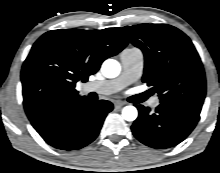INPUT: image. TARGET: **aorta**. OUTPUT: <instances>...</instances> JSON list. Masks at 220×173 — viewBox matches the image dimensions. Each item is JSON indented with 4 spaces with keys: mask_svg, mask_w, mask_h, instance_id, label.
<instances>
[{
    "mask_svg": "<svg viewBox=\"0 0 220 173\" xmlns=\"http://www.w3.org/2000/svg\"><path fill=\"white\" fill-rule=\"evenodd\" d=\"M101 71L106 78H115L120 74L121 66L118 61L114 59H107L103 62ZM122 116L126 121L131 122L136 120L138 111L134 106H125L122 109Z\"/></svg>",
    "mask_w": 220,
    "mask_h": 173,
    "instance_id": "obj_1",
    "label": "aorta"
}]
</instances>
